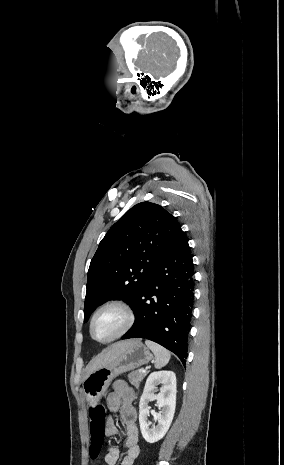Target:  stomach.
<instances>
[{"instance_id": "stomach-1", "label": "stomach", "mask_w": 284, "mask_h": 465, "mask_svg": "<svg viewBox=\"0 0 284 465\" xmlns=\"http://www.w3.org/2000/svg\"><path fill=\"white\" fill-rule=\"evenodd\" d=\"M153 355L148 347L142 345L140 341H131L128 343L125 351L119 353L118 357L90 373L83 381V393L88 405H97L100 399L104 397L111 381L125 371H133L138 367H143L152 361Z\"/></svg>"}]
</instances>
